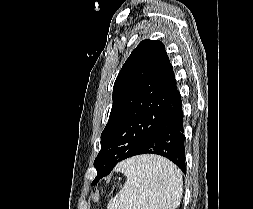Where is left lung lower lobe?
<instances>
[{
	"label": "left lung lower lobe",
	"instance_id": "1",
	"mask_svg": "<svg viewBox=\"0 0 253 209\" xmlns=\"http://www.w3.org/2000/svg\"><path fill=\"white\" fill-rule=\"evenodd\" d=\"M184 142L183 111L180 96L176 109L164 125L134 155L151 153L164 156L175 163L185 173ZM110 172L108 171L102 174L92 184H96Z\"/></svg>",
	"mask_w": 253,
	"mask_h": 209
}]
</instances>
